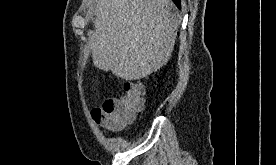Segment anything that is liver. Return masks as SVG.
Wrapping results in <instances>:
<instances>
[{
    "instance_id": "1",
    "label": "liver",
    "mask_w": 276,
    "mask_h": 165,
    "mask_svg": "<svg viewBox=\"0 0 276 165\" xmlns=\"http://www.w3.org/2000/svg\"><path fill=\"white\" fill-rule=\"evenodd\" d=\"M170 0H98L89 34L94 65L125 80L158 71L174 49L180 20Z\"/></svg>"
}]
</instances>
